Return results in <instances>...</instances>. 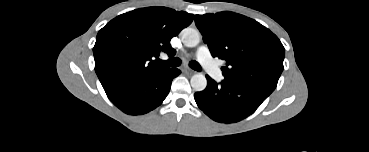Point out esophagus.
<instances>
[{"label":"esophagus","mask_w":369,"mask_h":152,"mask_svg":"<svg viewBox=\"0 0 369 152\" xmlns=\"http://www.w3.org/2000/svg\"><path fill=\"white\" fill-rule=\"evenodd\" d=\"M183 72L186 74V75H193L196 73V71L190 69V68H184L183 69Z\"/></svg>","instance_id":"1"}]
</instances>
